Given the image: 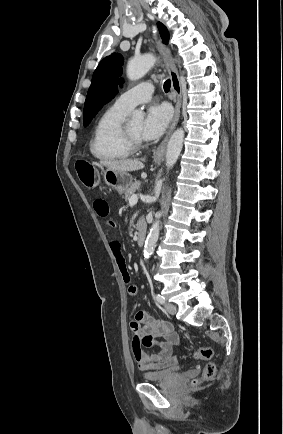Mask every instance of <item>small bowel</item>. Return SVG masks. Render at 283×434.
<instances>
[{
  "label": "small bowel",
  "mask_w": 283,
  "mask_h": 434,
  "mask_svg": "<svg viewBox=\"0 0 283 434\" xmlns=\"http://www.w3.org/2000/svg\"><path fill=\"white\" fill-rule=\"evenodd\" d=\"M96 214L106 217L110 207L107 200L97 198L93 203ZM111 249L124 279L129 283L130 276L127 271L125 259L120 251V244L117 241L111 242ZM128 293L134 296L138 293L135 285H129ZM132 335V352L138 367L142 370H163L174 367L178 363L177 356L173 355L174 346L180 344V337L173 326L163 320H158L151 314L140 311L130 323ZM157 347L159 352L148 355L144 348Z\"/></svg>",
  "instance_id": "1"
}]
</instances>
